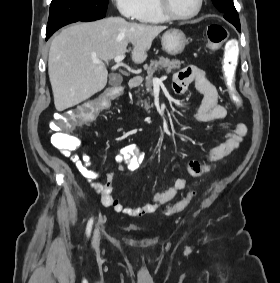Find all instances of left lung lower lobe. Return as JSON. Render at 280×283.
<instances>
[{"label":"left lung lower lobe","instance_id":"left-lung-lower-lobe-1","mask_svg":"<svg viewBox=\"0 0 280 283\" xmlns=\"http://www.w3.org/2000/svg\"><path fill=\"white\" fill-rule=\"evenodd\" d=\"M233 25L237 28V30H238V31H240V30H241L240 25H236V24H233Z\"/></svg>","mask_w":280,"mask_h":283}]
</instances>
